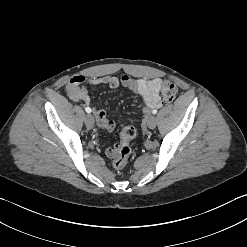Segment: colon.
I'll list each match as a JSON object with an SVG mask.
<instances>
[{
    "instance_id": "1",
    "label": "colon",
    "mask_w": 247,
    "mask_h": 247,
    "mask_svg": "<svg viewBox=\"0 0 247 247\" xmlns=\"http://www.w3.org/2000/svg\"><path fill=\"white\" fill-rule=\"evenodd\" d=\"M176 86L170 81H163L162 83V98L165 102L171 103L176 97ZM136 129L133 126H126L120 132V142L115 145L113 167L117 171H122L131 154V141L136 137Z\"/></svg>"
}]
</instances>
